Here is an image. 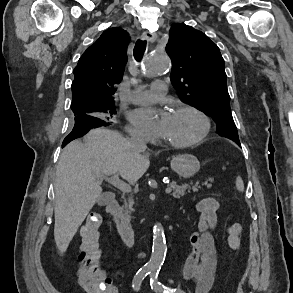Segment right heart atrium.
<instances>
[{
  "mask_svg": "<svg viewBox=\"0 0 293 293\" xmlns=\"http://www.w3.org/2000/svg\"><path fill=\"white\" fill-rule=\"evenodd\" d=\"M126 131L132 137L140 138V139H144V140H150V137L147 135V133H145L142 130L136 128L135 126L127 125L126 126Z\"/></svg>",
  "mask_w": 293,
  "mask_h": 293,
  "instance_id": "d8ad5b80",
  "label": "right heart atrium"
}]
</instances>
